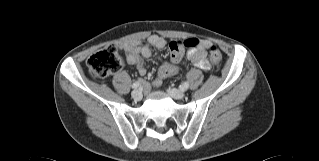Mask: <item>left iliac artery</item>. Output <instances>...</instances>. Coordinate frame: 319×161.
<instances>
[{"label":"left iliac artery","mask_w":319,"mask_h":161,"mask_svg":"<svg viewBox=\"0 0 319 161\" xmlns=\"http://www.w3.org/2000/svg\"><path fill=\"white\" fill-rule=\"evenodd\" d=\"M189 87V83L188 82H184L182 85H181V90L185 91L187 90Z\"/></svg>","instance_id":"1"}]
</instances>
